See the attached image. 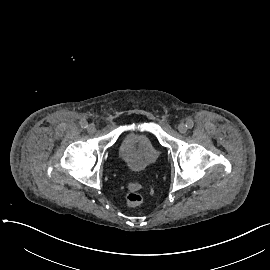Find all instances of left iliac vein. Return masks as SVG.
<instances>
[{"instance_id": "1", "label": "left iliac vein", "mask_w": 270, "mask_h": 270, "mask_svg": "<svg viewBox=\"0 0 270 270\" xmlns=\"http://www.w3.org/2000/svg\"><path fill=\"white\" fill-rule=\"evenodd\" d=\"M178 130L180 133L184 134L187 132V126L185 123L181 122L179 125H178Z\"/></svg>"}]
</instances>
